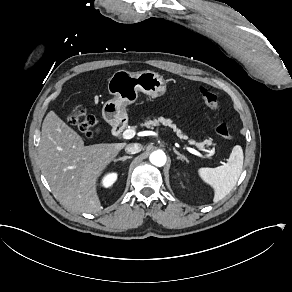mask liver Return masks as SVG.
I'll use <instances>...</instances> for the list:
<instances>
[{
	"mask_svg": "<svg viewBox=\"0 0 292 292\" xmlns=\"http://www.w3.org/2000/svg\"><path fill=\"white\" fill-rule=\"evenodd\" d=\"M126 143L84 146L72 128L50 111L42 124L39 160L54 196L74 212L101 210L96 181Z\"/></svg>",
	"mask_w": 292,
	"mask_h": 292,
	"instance_id": "6515ba94",
	"label": "liver"
}]
</instances>
